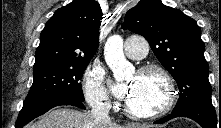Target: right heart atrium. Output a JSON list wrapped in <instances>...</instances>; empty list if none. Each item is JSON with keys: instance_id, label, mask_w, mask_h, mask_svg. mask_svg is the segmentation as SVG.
<instances>
[{"instance_id": "right-heart-atrium-1", "label": "right heart atrium", "mask_w": 221, "mask_h": 128, "mask_svg": "<svg viewBox=\"0 0 221 128\" xmlns=\"http://www.w3.org/2000/svg\"><path fill=\"white\" fill-rule=\"evenodd\" d=\"M105 76V68L98 63L89 65L84 73L85 99L91 107L105 108L109 105L103 85Z\"/></svg>"}]
</instances>
